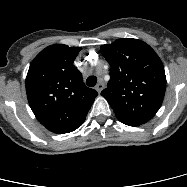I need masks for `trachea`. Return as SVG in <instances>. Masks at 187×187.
Returning a JSON list of instances; mask_svg holds the SVG:
<instances>
[{"label":"trachea","instance_id":"1","mask_svg":"<svg viewBox=\"0 0 187 187\" xmlns=\"http://www.w3.org/2000/svg\"><path fill=\"white\" fill-rule=\"evenodd\" d=\"M97 83V78L95 76H89L86 80V85L89 87H94Z\"/></svg>","mask_w":187,"mask_h":187}]
</instances>
